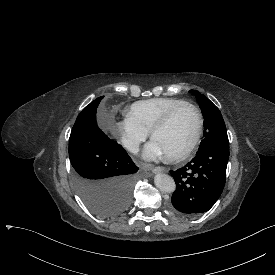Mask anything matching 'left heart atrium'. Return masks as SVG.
I'll use <instances>...</instances> for the list:
<instances>
[{
	"label": "left heart atrium",
	"instance_id": "39dd6f15",
	"mask_svg": "<svg viewBox=\"0 0 275 275\" xmlns=\"http://www.w3.org/2000/svg\"><path fill=\"white\" fill-rule=\"evenodd\" d=\"M166 156L164 151L153 141L148 145L144 152V157L148 160H156Z\"/></svg>",
	"mask_w": 275,
	"mask_h": 275
}]
</instances>
